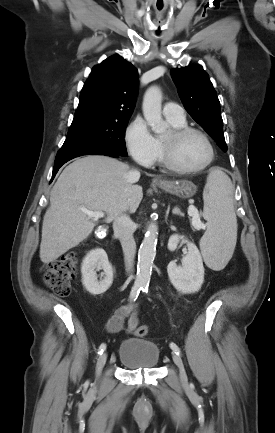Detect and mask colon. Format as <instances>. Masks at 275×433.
<instances>
[{
	"label": "colon",
	"mask_w": 275,
	"mask_h": 433,
	"mask_svg": "<svg viewBox=\"0 0 275 433\" xmlns=\"http://www.w3.org/2000/svg\"><path fill=\"white\" fill-rule=\"evenodd\" d=\"M77 252L69 251L60 259L51 262L44 274L45 284L60 296H67L71 291L72 281L77 275ZM148 334L145 324H138L135 335L144 337Z\"/></svg>",
	"instance_id": "5ec220e1"
}]
</instances>
